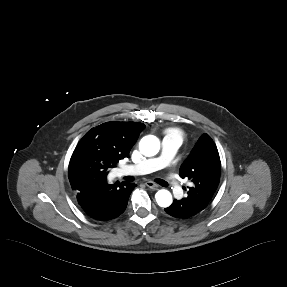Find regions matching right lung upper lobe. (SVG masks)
<instances>
[{"mask_svg":"<svg viewBox=\"0 0 287 287\" xmlns=\"http://www.w3.org/2000/svg\"><path fill=\"white\" fill-rule=\"evenodd\" d=\"M145 125L139 122H106L88 131L78 143L70 162L80 156L100 155L111 159L115 164L129 156ZM73 191H77L79 181H70Z\"/></svg>","mask_w":287,"mask_h":287,"instance_id":"cb5924a9","label":"right lung upper lobe"}]
</instances>
